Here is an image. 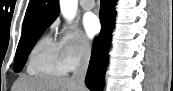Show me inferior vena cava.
<instances>
[{
	"label": "inferior vena cava",
	"instance_id": "obj_1",
	"mask_svg": "<svg viewBox=\"0 0 173 91\" xmlns=\"http://www.w3.org/2000/svg\"><path fill=\"white\" fill-rule=\"evenodd\" d=\"M91 56V48L88 43L80 48V61L77 64L71 80L75 81L81 90H85V77Z\"/></svg>",
	"mask_w": 173,
	"mask_h": 91
}]
</instances>
